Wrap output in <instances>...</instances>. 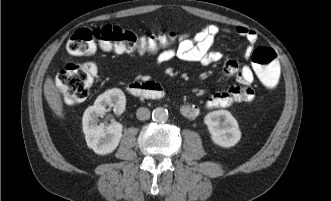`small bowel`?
Listing matches in <instances>:
<instances>
[{
  "mask_svg": "<svg viewBox=\"0 0 331 201\" xmlns=\"http://www.w3.org/2000/svg\"><path fill=\"white\" fill-rule=\"evenodd\" d=\"M236 33L248 41L246 56H250L252 46L258 41V34L252 29L238 26ZM220 28L217 25H204L193 37L183 34L178 38L174 48H168L157 54L156 62L162 64L172 59L188 62H198L202 65H212L220 62L221 52L214 50L213 45ZM225 76H235L237 84L212 95L205 103L207 109L225 108L234 103L249 102L254 98L252 83L255 79L254 69L249 65L240 67L236 59H227L222 68ZM180 113L187 118H194L200 113V108L192 103H184L179 108Z\"/></svg>",
  "mask_w": 331,
  "mask_h": 201,
  "instance_id": "obj_1",
  "label": "small bowel"
}]
</instances>
